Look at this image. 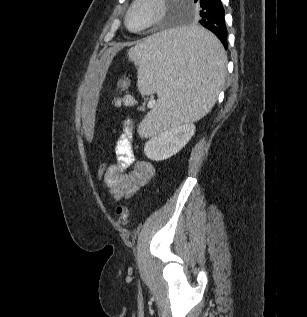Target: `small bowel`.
Instances as JSON below:
<instances>
[{"mask_svg": "<svg viewBox=\"0 0 307 317\" xmlns=\"http://www.w3.org/2000/svg\"><path fill=\"white\" fill-rule=\"evenodd\" d=\"M133 123L123 122V131L115 143L116 163L107 167L105 187L116 201L128 199L155 175L154 166L136 159L132 149Z\"/></svg>", "mask_w": 307, "mask_h": 317, "instance_id": "c3829d8e", "label": "small bowel"}]
</instances>
